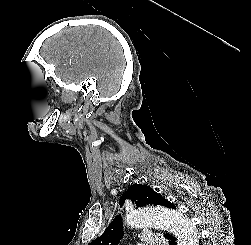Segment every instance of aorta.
I'll return each instance as SVG.
<instances>
[{"instance_id":"762f6f07","label":"aorta","mask_w":251,"mask_h":245,"mask_svg":"<svg viewBox=\"0 0 251 245\" xmlns=\"http://www.w3.org/2000/svg\"><path fill=\"white\" fill-rule=\"evenodd\" d=\"M126 223L135 228L160 227L177 237V245H198L199 235L192 221L179 212L160 208L144 207L127 212Z\"/></svg>"}]
</instances>
